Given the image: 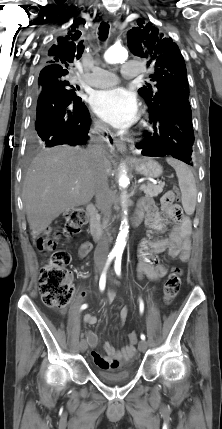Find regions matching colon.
I'll list each match as a JSON object with an SVG mask.
<instances>
[{"instance_id":"obj_1","label":"colon","mask_w":222,"mask_h":429,"mask_svg":"<svg viewBox=\"0 0 222 429\" xmlns=\"http://www.w3.org/2000/svg\"><path fill=\"white\" fill-rule=\"evenodd\" d=\"M178 200V192L170 190L162 198V204L172 205ZM87 213L83 208H71L63 214L64 230L69 235L79 232L86 222ZM56 236L48 231L41 237L37 244L42 250L50 252V258L40 271L39 292L43 303L48 307L62 308L71 300L74 288L71 275L68 271L70 255L68 252L58 249L56 246ZM182 269L174 267L168 275L162 289V298L169 304L179 293L182 283ZM138 341L136 332L129 334V342L134 346Z\"/></svg>"}]
</instances>
